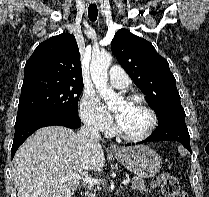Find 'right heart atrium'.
<instances>
[{"mask_svg": "<svg viewBox=\"0 0 209 197\" xmlns=\"http://www.w3.org/2000/svg\"><path fill=\"white\" fill-rule=\"evenodd\" d=\"M79 114L82 121L93 131L109 133L113 122L110 114L92 93L84 91L79 101Z\"/></svg>", "mask_w": 209, "mask_h": 197, "instance_id": "1", "label": "right heart atrium"}]
</instances>
